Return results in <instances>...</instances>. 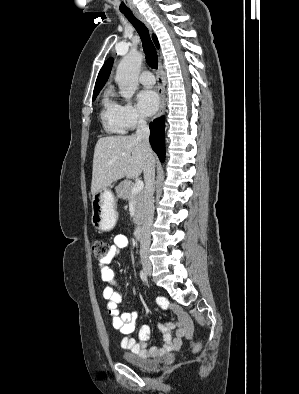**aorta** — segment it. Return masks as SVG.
Masks as SVG:
<instances>
[{"mask_svg": "<svg viewBox=\"0 0 299 394\" xmlns=\"http://www.w3.org/2000/svg\"><path fill=\"white\" fill-rule=\"evenodd\" d=\"M143 61V55L139 52H130L120 61L115 81L119 86L120 94L130 99L138 87V76Z\"/></svg>", "mask_w": 299, "mask_h": 394, "instance_id": "762f6f07", "label": "aorta"}]
</instances>
